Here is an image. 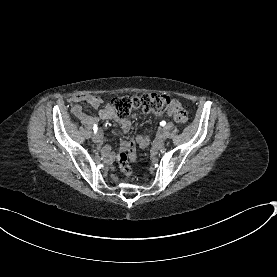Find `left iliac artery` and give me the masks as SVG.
<instances>
[{"instance_id": "44dca946", "label": "left iliac artery", "mask_w": 277, "mask_h": 277, "mask_svg": "<svg viewBox=\"0 0 277 277\" xmlns=\"http://www.w3.org/2000/svg\"><path fill=\"white\" fill-rule=\"evenodd\" d=\"M160 125H161V126H165V125H166V122H165V121H161V122H160Z\"/></svg>"}]
</instances>
